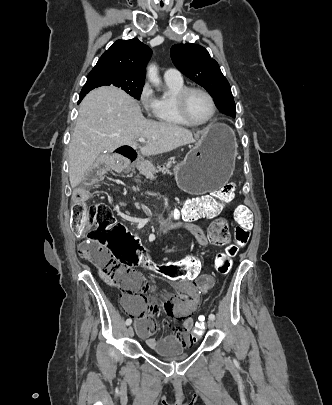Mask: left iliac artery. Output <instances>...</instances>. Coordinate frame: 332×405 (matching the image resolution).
<instances>
[{"mask_svg": "<svg viewBox=\"0 0 332 405\" xmlns=\"http://www.w3.org/2000/svg\"><path fill=\"white\" fill-rule=\"evenodd\" d=\"M209 319L214 321V320H215V315H214V314H210V315H209Z\"/></svg>", "mask_w": 332, "mask_h": 405, "instance_id": "obj_1", "label": "left iliac artery"}]
</instances>
